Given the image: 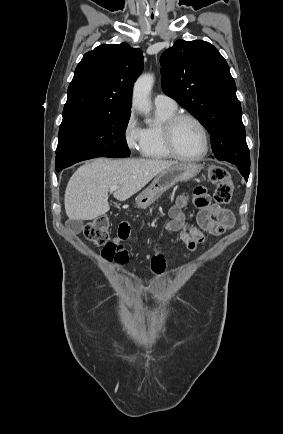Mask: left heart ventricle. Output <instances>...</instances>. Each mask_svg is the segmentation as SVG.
<instances>
[{
  "instance_id": "b2bd125f",
  "label": "left heart ventricle",
  "mask_w": 283,
  "mask_h": 434,
  "mask_svg": "<svg viewBox=\"0 0 283 434\" xmlns=\"http://www.w3.org/2000/svg\"><path fill=\"white\" fill-rule=\"evenodd\" d=\"M174 143L177 151L186 156L199 154L203 148L202 135L191 120H181L174 130Z\"/></svg>"
}]
</instances>
